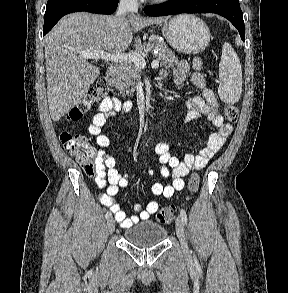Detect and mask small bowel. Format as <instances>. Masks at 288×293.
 Listing matches in <instances>:
<instances>
[{
  "label": "small bowel",
  "mask_w": 288,
  "mask_h": 293,
  "mask_svg": "<svg viewBox=\"0 0 288 293\" xmlns=\"http://www.w3.org/2000/svg\"><path fill=\"white\" fill-rule=\"evenodd\" d=\"M201 63L194 62V70L191 74V82L200 89V96L190 97L187 101L186 121H191L200 116H205L216 127L208 139L207 145L198 154H188L183 160L170 153L168 144L157 143L154 151L162 164L161 175L164 178H172L170 182H155L151 186V192L155 196L171 198L175 192L181 191L185 182L183 177L192 170L204 168L209 160L223 146L226 138L232 132V126L225 122L219 112V104L213 90L207 85L206 80L200 72ZM190 66L186 61H181L172 72V79L176 84L185 82ZM163 77L170 76L167 72L162 73ZM131 110V102H122L118 98H107L97 108L92 116V123L88 127L89 133L95 137L97 145L101 148L96 156V178L98 188H106L105 192L99 195V201L109 208L114 214L115 220L124 228L131 227L139 220H147L157 212L159 205L156 201H150L145 207L136 204L134 209L139 215L126 216V213L115 200V195L121 188L128 184V174L117 168V158L106 153L104 149L110 146V139L104 133L107 130V120L119 112L128 113ZM152 173V170H148Z\"/></svg>",
  "instance_id": "1"
}]
</instances>
